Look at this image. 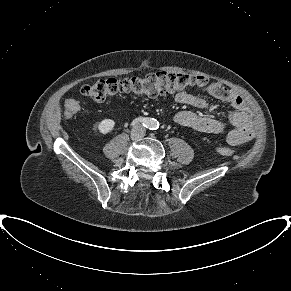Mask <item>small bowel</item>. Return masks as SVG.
I'll return each instance as SVG.
<instances>
[{
  "label": "small bowel",
  "instance_id": "c3829d8e",
  "mask_svg": "<svg viewBox=\"0 0 291 291\" xmlns=\"http://www.w3.org/2000/svg\"><path fill=\"white\" fill-rule=\"evenodd\" d=\"M209 94L230 104L233 111L228 114V124L207 116H199L190 111H180L174 116V121L180 126L188 127L196 131L223 134L230 145H237L251 140L254 137L253 122L249 108L243 99L234 91L223 85L218 88H206ZM176 102L190 105L199 109H208V103L197 96L187 92H179L175 95Z\"/></svg>",
  "mask_w": 291,
  "mask_h": 291
}]
</instances>
